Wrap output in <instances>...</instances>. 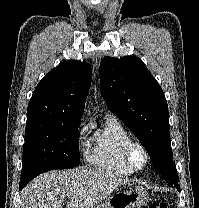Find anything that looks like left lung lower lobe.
<instances>
[{
  "instance_id": "0a47b994",
  "label": "left lung lower lobe",
  "mask_w": 199,
  "mask_h": 208,
  "mask_svg": "<svg viewBox=\"0 0 199 208\" xmlns=\"http://www.w3.org/2000/svg\"><path fill=\"white\" fill-rule=\"evenodd\" d=\"M167 182H168L169 186H173L174 185L180 191V187L178 185V179L168 180Z\"/></svg>"
}]
</instances>
